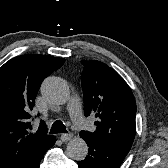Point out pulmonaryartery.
Instances as JSON below:
<instances>
[{"mask_svg":"<svg viewBox=\"0 0 168 168\" xmlns=\"http://www.w3.org/2000/svg\"><path fill=\"white\" fill-rule=\"evenodd\" d=\"M68 111L76 127H85L86 121L82 114V104L80 98L77 95L72 96L70 99Z\"/></svg>","mask_w":168,"mask_h":168,"instance_id":"pulmonary-artery-1","label":"pulmonary artery"}]
</instances>
